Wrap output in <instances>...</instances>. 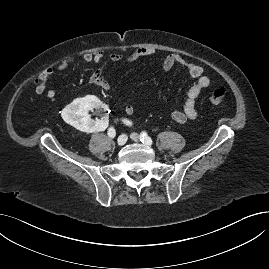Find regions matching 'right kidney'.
<instances>
[{"mask_svg": "<svg viewBox=\"0 0 269 269\" xmlns=\"http://www.w3.org/2000/svg\"><path fill=\"white\" fill-rule=\"evenodd\" d=\"M93 110L99 115H105L108 112V107L97 97L86 96L74 100L65 109L61 110L60 117L84 132H103L108 130V117L104 116L101 120H93L88 114L89 111Z\"/></svg>", "mask_w": 269, "mask_h": 269, "instance_id": "ca27d5eb", "label": "right kidney"}]
</instances>
